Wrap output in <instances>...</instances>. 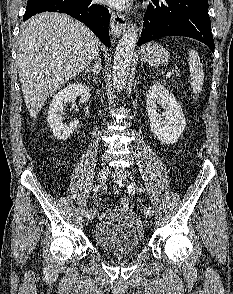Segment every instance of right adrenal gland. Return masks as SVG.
<instances>
[{
	"instance_id": "1",
	"label": "right adrenal gland",
	"mask_w": 233,
	"mask_h": 294,
	"mask_svg": "<svg viewBox=\"0 0 233 294\" xmlns=\"http://www.w3.org/2000/svg\"><path fill=\"white\" fill-rule=\"evenodd\" d=\"M100 71H101V61H100V59L97 58L94 67L87 68L85 70V73L90 72V73H93L94 76H97L100 73Z\"/></svg>"
}]
</instances>
